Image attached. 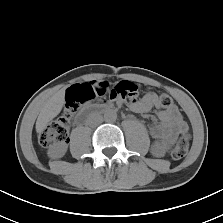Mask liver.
Segmentation results:
<instances>
[{"mask_svg":"<svg viewBox=\"0 0 223 223\" xmlns=\"http://www.w3.org/2000/svg\"><path fill=\"white\" fill-rule=\"evenodd\" d=\"M64 101L65 89H61L44 103L36 121L37 133H42L47 124L60 113Z\"/></svg>","mask_w":223,"mask_h":223,"instance_id":"obj_1","label":"liver"}]
</instances>
